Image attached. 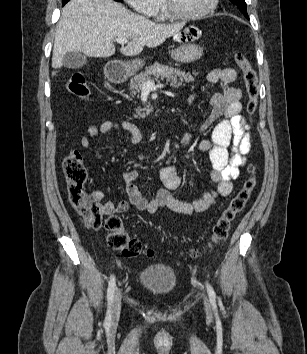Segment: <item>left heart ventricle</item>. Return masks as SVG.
I'll use <instances>...</instances> for the list:
<instances>
[{"mask_svg": "<svg viewBox=\"0 0 307 354\" xmlns=\"http://www.w3.org/2000/svg\"><path fill=\"white\" fill-rule=\"evenodd\" d=\"M211 0H172L173 5L182 13L195 14L204 11Z\"/></svg>", "mask_w": 307, "mask_h": 354, "instance_id": "left-heart-ventricle-1", "label": "left heart ventricle"}]
</instances>
